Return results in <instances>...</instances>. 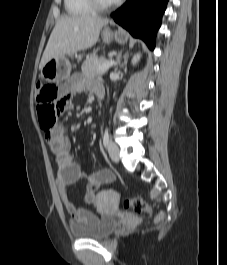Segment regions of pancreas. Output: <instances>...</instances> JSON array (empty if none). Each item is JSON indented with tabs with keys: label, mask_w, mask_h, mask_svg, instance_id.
<instances>
[{
	"label": "pancreas",
	"mask_w": 227,
	"mask_h": 265,
	"mask_svg": "<svg viewBox=\"0 0 227 265\" xmlns=\"http://www.w3.org/2000/svg\"><path fill=\"white\" fill-rule=\"evenodd\" d=\"M107 60L102 58V57H98V56H91L89 58H87L82 66H81V69H82V73L85 75V76H88V77H94V76H99V75H102L104 74L107 70L105 71H99L98 70V67L104 63H106Z\"/></svg>",
	"instance_id": "pancreas-1"
}]
</instances>
